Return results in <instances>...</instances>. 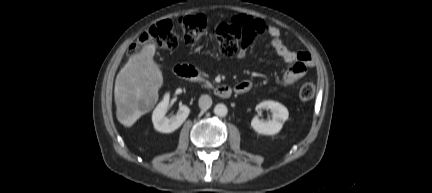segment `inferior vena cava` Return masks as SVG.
Masks as SVG:
<instances>
[{"instance_id":"602c4592","label":"inferior vena cava","mask_w":432,"mask_h":193,"mask_svg":"<svg viewBox=\"0 0 432 193\" xmlns=\"http://www.w3.org/2000/svg\"><path fill=\"white\" fill-rule=\"evenodd\" d=\"M211 105H212V99H211V97L209 95H202L199 98V107L202 110L209 109L211 107Z\"/></svg>"}]
</instances>
